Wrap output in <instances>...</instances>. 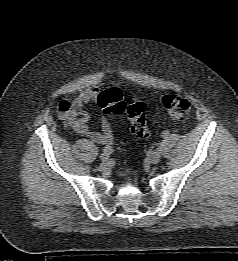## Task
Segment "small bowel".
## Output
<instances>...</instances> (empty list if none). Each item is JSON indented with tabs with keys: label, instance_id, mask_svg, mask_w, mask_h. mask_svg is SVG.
<instances>
[{
	"label": "small bowel",
	"instance_id": "obj_1",
	"mask_svg": "<svg viewBox=\"0 0 238 261\" xmlns=\"http://www.w3.org/2000/svg\"><path fill=\"white\" fill-rule=\"evenodd\" d=\"M101 91L97 88L85 89L72 101H61L58 105V113L65 126L76 133L85 136L94 143L109 146L113 141V131L106 117L100 121L101 131L92 130L89 125V114L84 105L95 102Z\"/></svg>",
	"mask_w": 238,
	"mask_h": 261
}]
</instances>
